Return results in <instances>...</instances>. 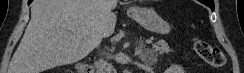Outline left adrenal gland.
Wrapping results in <instances>:
<instances>
[{"mask_svg":"<svg viewBox=\"0 0 244 73\" xmlns=\"http://www.w3.org/2000/svg\"><path fill=\"white\" fill-rule=\"evenodd\" d=\"M136 51H137L138 57L140 59H143V57H144L145 53L148 51V49L145 48V45L142 40L139 41Z\"/></svg>","mask_w":244,"mask_h":73,"instance_id":"1","label":"left adrenal gland"}]
</instances>
